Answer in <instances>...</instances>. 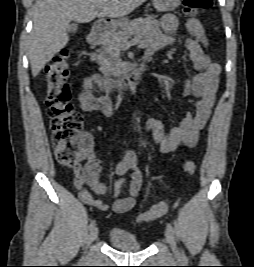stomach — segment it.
Here are the masks:
<instances>
[{
  "mask_svg": "<svg viewBox=\"0 0 254 267\" xmlns=\"http://www.w3.org/2000/svg\"><path fill=\"white\" fill-rule=\"evenodd\" d=\"M181 3V0H153V6L159 12H169L176 9ZM128 19H121L110 23L109 28L111 31H115L117 27H123L127 25Z\"/></svg>",
  "mask_w": 254,
  "mask_h": 267,
  "instance_id": "obj_1",
  "label": "stomach"
}]
</instances>
